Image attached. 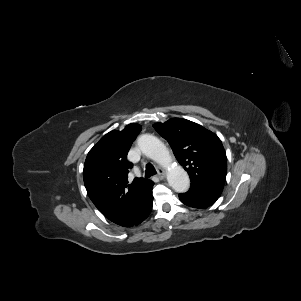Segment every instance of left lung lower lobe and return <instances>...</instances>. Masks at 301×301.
<instances>
[{"label":"left lung lower lobe","instance_id":"1","mask_svg":"<svg viewBox=\"0 0 301 301\" xmlns=\"http://www.w3.org/2000/svg\"><path fill=\"white\" fill-rule=\"evenodd\" d=\"M220 194L215 190L191 185L188 192L179 194V199L190 207L204 209L214 204Z\"/></svg>","mask_w":301,"mask_h":301}]
</instances>
